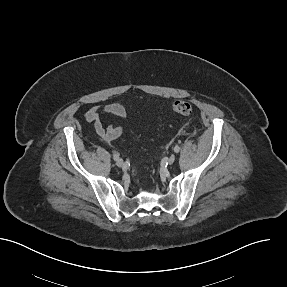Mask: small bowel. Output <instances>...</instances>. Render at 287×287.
Returning <instances> with one entry per match:
<instances>
[{"label": "small bowel", "mask_w": 287, "mask_h": 287, "mask_svg": "<svg viewBox=\"0 0 287 287\" xmlns=\"http://www.w3.org/2000/svg\"><path fill=\"white\" fill-rule=\"evenodd\" d=\"M102 114L125 118L127 116L126 108L121 103L94 105L84 114V119L94 125L95 131L102 141L109 143L120 138L125 132L124 127L104 125L100 120Z\"/></svg>", "instance_id": "obj_1"}]
</instances>
